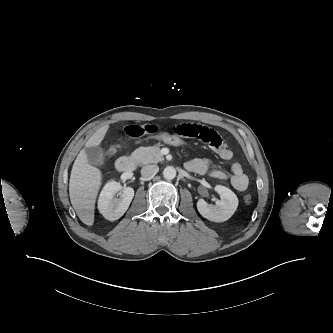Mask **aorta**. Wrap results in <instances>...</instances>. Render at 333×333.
Returning a JSON list of instances; mask_svg holds the SVG:
<instances>
[{
	"mask_svg": "<svg viewBox=\"0 0 333 333\" xmlns=\"http://www.w3.org/2000/svg\"><path fill=\"white\" fill-rule=\"evenodd\" d=\"M163 176L167 180H173L176 177V169L172 166H168L163 171Z\"/></svg>",
	"mask_w": 333,
	"mask_h": 333,
	"instance_id": "obj_1",
	"label": "aorta"
}]
</instances>
